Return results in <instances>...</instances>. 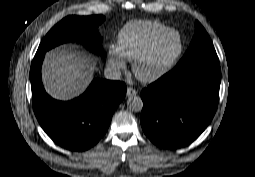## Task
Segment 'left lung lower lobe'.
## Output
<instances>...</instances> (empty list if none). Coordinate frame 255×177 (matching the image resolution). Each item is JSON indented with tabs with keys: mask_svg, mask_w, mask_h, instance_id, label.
<instances>
[{
	"mask_svg": "<svg viewBox=\"0 0 255 177\" xmlns=\"http://www.w3.org/2000/svg\"><path fill=\"white\" fill-rule=\"evenodd\" d=\"M220 81L219 60L199 59L175 67L143 89L145 134L167 149L194 141L216 112Z\"/></svg>",
	"mask_w": 255,
	"mask_h": 177,
	"instance_id": "0a47b994",
	"label": "left lung lower lobe"
}]
</instances>
